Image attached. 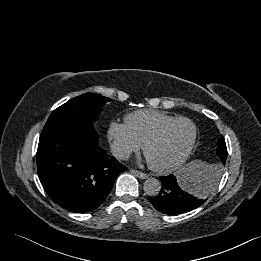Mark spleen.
<instances>
[{"mask_svg": "<svg viewBox=\"0 0 261 261\" xmlns=\"http://www.w3.org/2000/svg\"><path fill=\"white\" fill-rule=\"evenodd\" d=\"M210 167L208 164L203 162H193L191 164H188L187 167L184 169V172H187V176L185 175V178L182 179V183L185 184V187L188 188V185L186 182L188 179H192L197 173H199L200 170ZM198 195V194H197Z\"/></svg>", "mask_w": 261, "mask_h": 261, "instance_id": "1", "label": "spleen"}]
</instances>
